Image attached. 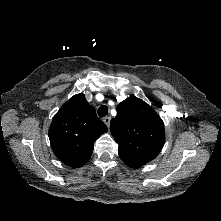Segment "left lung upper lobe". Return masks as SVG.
<instances>
[{
  "instance_id": "1",
  "label": "left lung upper lobe",
  "mask_w": 221,
  "mask_h": 221,
  "mask_svg": "<svg viewBox=\"0 0 221 221\" xmlns=\"http://www.w3.org/2000/svg\"><path fill=\"white\" fill-rule=\"evenodd\" d=\"M110 129L119 145L120 158L132 168H139L153 160L164 145L162 119L152 107L136 97L119 103Z\"/></svg>"
}]
</instances>
